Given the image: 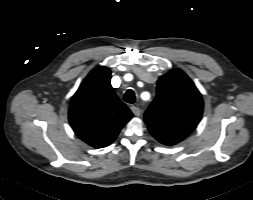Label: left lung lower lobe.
Instances as JSON below:
<instances>
[{
	"label": "left lung lower lobe",
	"instance_id": "obj_1",
	"mask_svg": "<svg viewBox=\"0 0 253 200\" xmlns=\"http://www.w3.org/2000/svg\"><path fill=\"white\" fill-rule=\"evenodd\" d=\"M150 133L164 145H174L182 141L185 137L181 135L165 133L158 130L149 129Z\"/></svg>",
	"mask_w": 253,
	"mask_h": 200
}]
</instances>
